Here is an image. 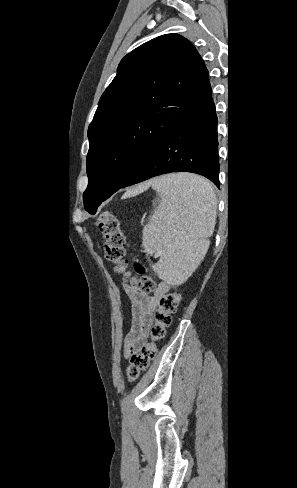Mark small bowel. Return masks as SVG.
I'll use <instances>...</instances> for the list:
<instances>
[{
  "mask_svg": "<svg viewBox=\"0 0 297 488\" xmlns=\"http://www.w3.org/2000/svg\"><path fill=\"white\" fill-rule=\"evenodd\" d=\"M171 285L166 281L158 283L152 294L138 292L131 286H126V292L131 301V329L126 339V351L135 353L146 340L153 322V313L161 297L166 295Z\"/></svg>",
  "mask_w": 297,
  "mask_h": 488,
  "instance_id": "1",
  "label": "small bowel"
}]
</instances>
